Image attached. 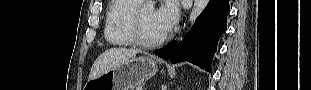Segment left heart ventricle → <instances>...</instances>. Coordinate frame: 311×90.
<instances>
[{"label": "left heart ventricle", "mask_w": 311, "mask_h": 90, "mask_svg": "<svg viewBox=\"0 0 311 90\" xmlns=\"http://www.w3.org/2000/svg\"><path fill=\"white\" fill-rule=\"evenodd\" d=\"M142 31L146 39L156 40L165 33L155 21V12L152 8H144L141 10Z\"/></svg>", "instance_id": "obj_1"}]
</instances>
